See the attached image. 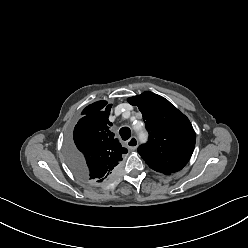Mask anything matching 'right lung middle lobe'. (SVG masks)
Returning <instances> with one entry per match:
<instances>
[{
    "instance_id": "1",
    "label": "right lung middle lobe",
    "mask_w": 248,
    "mask_h": 248,
    "mask_svg": "<svg viewBox=\"0 0 248 248\" xmlns=\"http://www.w3.org/2000/svg\"><path fill=\"white\" fill-rule=\"evenodd\" d=\"M65 153H66V158H67V161H68L70 167L77 174V170H76V167H75L74 162H73L74 156L76 155V150L71 143H69L66 146Z\"/></svg>"
}]
</instances>
